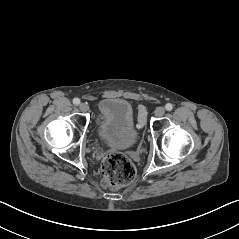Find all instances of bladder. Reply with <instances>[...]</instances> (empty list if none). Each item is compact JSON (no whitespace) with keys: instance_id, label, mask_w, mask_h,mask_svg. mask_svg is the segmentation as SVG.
Instances as JSON below:
<instances>
[{"instance_id":"obj_1","label":"bladder","mask_w":239,"mask_h":239,"mask_svg":"<svg viewBox=\"0 0 239 239\" xmlns=\"http://www.w3.org/2000/svg\"><path fill=\"white\" fill-rule=\"evenodd\" d=\"M98 138L106 145L119 149L133 147L138 140L134 112L123 98H105L99 103Z\"/></svg>"}]
</instances>
